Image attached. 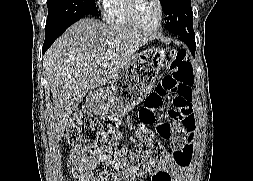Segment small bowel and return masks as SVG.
Returning a JSON list of instances; mask_svg holds the SVG:
<instances>
[{
  "mask_svg": "<svg viewBox=\"0 0 253 181\" xmlns=\"http://www.w3.org/2000/svg\"><path fill=\"white\" fill-rule=\"evenodd\" d=\"M174 134L182 135L173 142L174 155L171 160L160 163L157 167H150L151 178L148 181H186L187 173L192 161L193 145V125L189 116L185 122H177L172 125ZM109 131L116 139H121L120 131L114 127H109ZM68 166L73 177L78 181H115L124 179L132 181L136 171L126 169L121 174L111 171L96 172L97 159L95 155L82 152L78 148H71L68 153Z\"/></svg>",
  "mask_w": 253,
  "mask_h": 181,
  "instance_id": "small-bowel-1",
  "label": "small bowel"
}]
</instances>
